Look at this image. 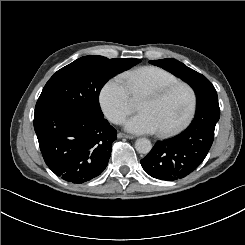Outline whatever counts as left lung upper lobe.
<instances>
[{
	"instance_id": "5c2ea615",
	"label": "left lung upper lobe",
	"mask_w": 245,
	"mask_h": 245,
	"mask_svg": "<svg viewBox=\"0 0 245 245\" xmlns=\"http://www.w3.org/2000/svg\"><path fill=\"white\" fill-rule=\"evenodd\" d=\"M150 63L162 67L163 69L181 78L194 89L195 93L200 90L204 84L211 83L205 76L187 67L176 59L167 58L153 60L150 61Z\"/></svg>"
}]
</instances>
